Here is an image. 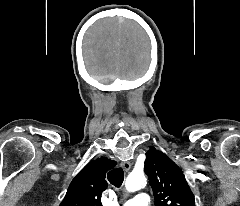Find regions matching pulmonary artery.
Masks as SVG:
<instances>
[{"label":"pulmonary artery","mask_w":240,"mask_h":206,"mask_svg":"<svg viewBox=\"0 0 240 206\" xmlns=\"http://www.w3.org/2000/svg\"><path fill=\"white\" fill-rule=\"evenodd\" d=\"M123 206H149V197L146 193H138L134 198L127 200Z\"/></svg>","instance_id":"pulmonary-artery-1"}]
</instances>
